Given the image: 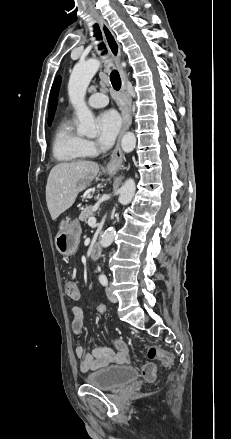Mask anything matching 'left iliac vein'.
<instances>
[{"label":"left iliac vein","instance_id":"obj_1","mask_svg":"<svg viewBox=\"0 0 231 439\" xmlns=\"http://www.w3.org/2000/svg\"><path fill=\"white\" fill-rule=\"evenodd\" d=\"M106 294L109 301H111L112 303H116L118 301L117 297L113 294L112 289L110 287L106 288Z\"/></svg>","mask_w":231,"mask_h":439}]
</instances>
